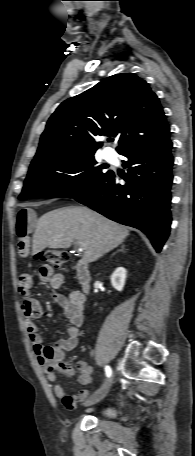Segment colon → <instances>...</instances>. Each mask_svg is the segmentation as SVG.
<instances>
[{
	"instance_id": "colon-1",
	"label": "colon",
	"mask_w": 195,
	"mask_h": 456,
	"mask_svg": "<svg viewBox=\"0 0 195 456\" xmlns=\"http://www.w3.org/2000/svg\"><path fill=\"white\" fill-rule=\"evenodd\" d=\"M69 257V253L62 249H49L38 254L40 260L56 269H63L69 261ZM58 368L66 374L73 372L72 367L68 363H60Z\"/></svg>"
}]
</instances>
